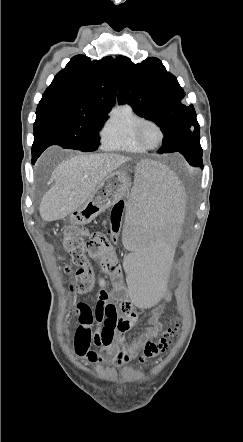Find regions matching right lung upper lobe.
I'll use <instances>...</instances> for the list:
<instances>
[{
	"instance_id": "right-lung-upper-lobe-1",
	"label": "right lung upper lobe",
	"mask_w": 243,
	"mask_h": 442,
	"mask_svg": "<svg viewBox=\"0 0 243 442\" xmlns=\"http://www.w3.org/2000/svg\"><path fill=\"white\" fill-rule=\"evenodd\" d=\"M117 86L112 57L91 61L76 55L55 76L41 100H54L79 111L108 113L115 103Z\"/></svg>"
}]
</instances>
